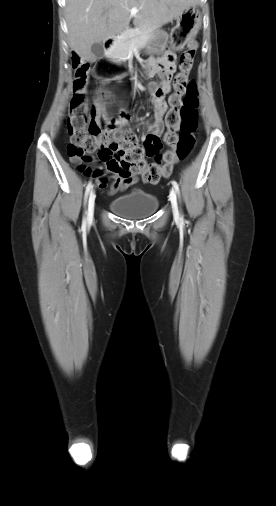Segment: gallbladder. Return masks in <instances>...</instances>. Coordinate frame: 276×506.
<instances>
[{"label":"gallbladder","mask_w":276,"mask_h":506,"mask_svg":"<svg viewBox=\"0 0 276 506\" xmlns=\"http://www.w3.org/2000/svg\"><path fill=\"white\" fill-rule=\"evenodd\" d=\"M91 52L97 59L102 58L104 56L103 44L101 42L94 43Z\"/></svg>","instance_id":"1"}]
</instances>
